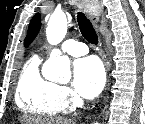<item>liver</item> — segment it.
I'll return each instance as SVG.
<instances>
[{
    "mask_svg": "<svg viewBox=\"0 0 145 124\" xmlns=\"http://www.w3.org/2000/svg\"><path fill=\"white\" fill-rule=\"evenodd\" d=\"M21 124H72L70 120L65 118L54 117H36V116H22L20 118Z\"/></svg>",
    "mask_w": 145,
    "mask_h": 124,
    "instance_id": "6515ba94",
    "label": "liver"
}]
</instances>
